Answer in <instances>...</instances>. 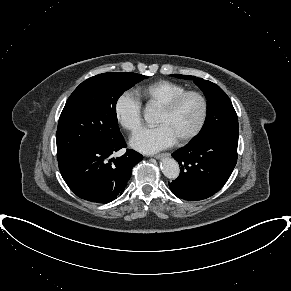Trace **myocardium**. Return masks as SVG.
<instances>
[{"mask_svg": "<svg viewBox=\"0 0 291 291\" xmlns=\"http://www.w3.org/2000/svg\"><path fill=\"white\" fill-rule=\"evenodd\" d=\"M188 96H195L199 99L201 103V115L199 118V121L195 128L185 137L179 139L176 141L179 145H184L193 140L196 136L199 135V133L202 131L207 117H208V101L207 98L203 93L196 90H186L175 97H173L171 100H169L166 104H164L162 107H160V110L165 113H171L173 112L178 105Z\"/></svg>", "mask_w": 291, "mask_h": 291, "instance_id": "1", "label": "myocardium"}]
</instances>
